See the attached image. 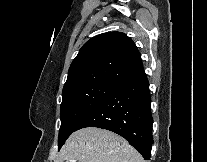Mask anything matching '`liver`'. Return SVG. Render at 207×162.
<instances>
[{
	"mask_svg": "<svg viewBox=\"0 0 207 162\" xmlns=\"http://www.w3.org/2000/svg\"><path fill=\"white\" fill-rule=\"evenodd\" d=\"M145 162L123 137L105 129L87 127L73 132L55 162Z\"/></svg>",
	"mask_w": 207,
	"mask_h": 162,
	"instance_id": "obj_1",
	"label": "liver"
}]
</instances>
